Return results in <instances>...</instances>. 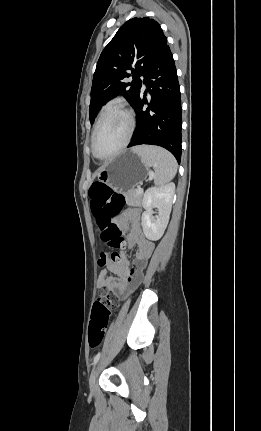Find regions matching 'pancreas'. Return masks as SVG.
I'll return each instance as SVG.
<instances>
[{"mask_svg": "<svg viewBox=\"0 0 261 431\" xmlns=\"http://www.w3.org/2000/svg\"><path fill=\"white\" fill-rule=\"evenodd\" d=\"M142 197L143 192L138 193L137 189H133L125 193L126 204L128 206H141L143 204Z\"/></svg>", "mask_w": 261, "mask_h": 431, "instance_id": "cf45deb5", "label": "pancreas"}]
</instances>
